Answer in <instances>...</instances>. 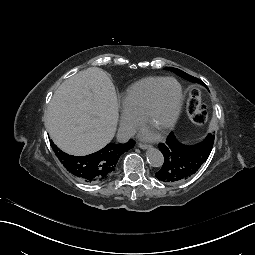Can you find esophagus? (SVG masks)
Masks as SVG:
<instances>
[{"label":"esophagus","instance_id":"1","mask_svg":"<svg viewBox=\"0 0 255 255\" xmlns=\"http://www.w3.org/2000/svg\"><path fill=\"white\" fill-rule=\"evenodd\" d=\"M139 147L142 148V149H148V148H151L150 145L146 144V143H139Z\"/></svg>","mask_w":255,"mask_h":255}]
</instances>
